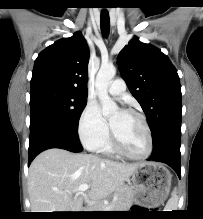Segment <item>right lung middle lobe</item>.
<instances>
[{
	"label": "right lung middle lobe",
	"mask_w": 203,
	"mask_h": 219,
	"mask_svg": "<svg viewBox=\"0 0 203 219\" xmlns=\"http://www.w3.org/2000/svg\"><path fill=\"white\" fill-rule=\"evenodd\" d=\"M86 103L87 95L59 85H31L30 122L42 121L63 132L77 135L78 121Z\"/></svg>",
	"instance_id": "obj_1"
}]
</instances>
